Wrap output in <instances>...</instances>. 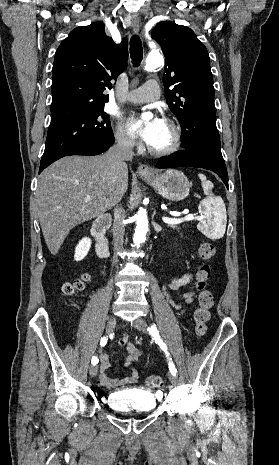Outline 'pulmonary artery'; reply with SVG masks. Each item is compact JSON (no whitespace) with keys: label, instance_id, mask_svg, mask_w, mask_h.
<instances>
[{"label":"pulmonary artery","instance_id":"obj_1","mask_svg":"<svg viewBox=\"0 0 279 465\" xmlns=\"http://www.w3.org/2000/svg\"><path fill=\"white\" fill-rule=\"evenodd\" d=\"M160 89L158 83L151 79L138 89L133 90L127 96V100L134 103H149L159 98Z\"/></svg>","mask_w":279,"mask_h":465}]
</instances>
